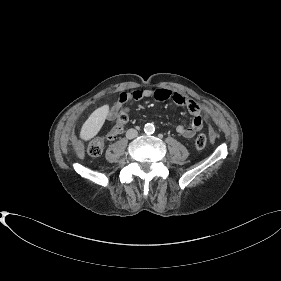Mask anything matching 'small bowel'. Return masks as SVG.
Returning <instances> with one entry per match:
<instances>
[{
	"label": "small bowel",
	"instance_id": "1",
	"mask_svg": "<svg viewBox=\"0 0 281 281\" xmlns=\"http://www.w3.org/2000/svg\"><path fill=\"white\" fill-rule=\"evenodd\" d=\"M154 98L158 101H166L172 99L173 102L179 106L186 107L190 114L193 116V120L190 126L178 124L175 127V131L180 136L190 139L198 133L204 125V120L207 115L206 109L198 102L188 98L186 95L180 92H172L165 88H159L156 90L143 89L134 90L131 92L121 93L117 104L110 107L108 112V119L114 120L117 116V112L120 106H123L126 102H138L142 99Z\"/></svg>",
	"mask_w": 281,
	"mask_h": 281
}]
</instances>
